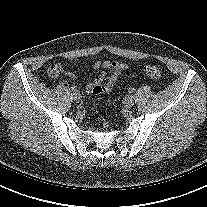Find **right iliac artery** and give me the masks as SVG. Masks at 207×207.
<instances>
[{
    "mask_svg": "<svg viewBox=\"0 0 207 207\" xmlns=\"http://www.w3.org/2000/svg\"><path fill=\"white\" fill-rule=\"evenodd\" d=\"M71 89H72L73 92L77 91V89L75 87H71Z\"/></svg>",
    "mask_w": 207,
    "mask_h": 207,
    "instance_id": "1",
    "label": "right iliac artery"
}]
</instances>
